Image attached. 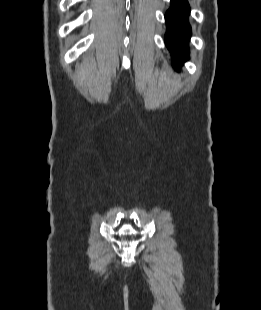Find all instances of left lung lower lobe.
<instances>
[{
    "label": "left lung lower lobe",
    "instance_id": "1",
    "mask_svg": "<svg viewBox=\"0 0 261 310\" xmlns=\"http://www.w3.org/2000/svg\"><path fill=\"white\" fill-rule=\"evenodd\" d=\"M190 7L187 0H171V8L165 15L167 33L165 43L177 63L188 59L187 41L191 34L188 23Z\"/></svg>",
    "mask_w": 261,
    "mask_h": 310
}]
</instances>
